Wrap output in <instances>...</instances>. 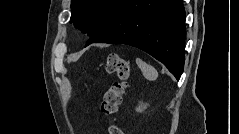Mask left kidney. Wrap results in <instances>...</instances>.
Segmentation results:
<instances>
[{"label": "left kidney", "mask_w": 239, "mask_h": 134, "mask_svg": "<svg viewBox=\"0 0 239 134\" xmlns=\"http://www.w3.org/2000/svg\"><path fill=\"white\" fill-rule=\"evenodd\" d=\"M148 104H144V105H139L137 108H136V111L137 112H142L144 111L146 108H147Z\"/></svg>", "instance_id": "5707ae66"}]
</instances>
